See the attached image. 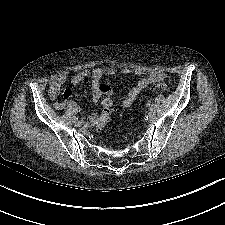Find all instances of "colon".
I'll list each match as a JSON object with an SVG mask.
<instances>
[{
  "label": "colon",
  "mask_w": 225,
  "mask_h": 225,
  "mask_svg": "<svg viewBox=\"0 0 225 225\" xmlns=\"http://www.w3.org/2000/svg\"><path fill=\"white\" fill-rule=\"evenodd\" d=\"M156 88L162 92L168 90V87L163 83L157 84ZM112 112H113L112 101L109 98H105L103 100V108L101 114L95 120V128L98 132L104 130V128L106 127L107 123L110 120Z\"/></svg>",
  "instance_id": "colon-1"
}]
</instances>
